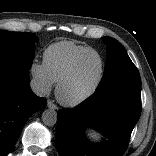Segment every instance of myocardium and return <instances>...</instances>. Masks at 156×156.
I'll return each mask as SVG.
<instances>
[{
    "instance_id": "1",
    "label": "myocardium",
    "mask_w": 156,
    "mask_h": 156,
    "mask_svg": "<svg viewBox=\"0 0 156 156\" xmlns=\"http://www.w3.org/2000/svg\"><path fill=\"white\" fill-rule=\"evenodd\" d=\"M92 53L96 54L99 57L100 63H101V70H100V75H99L98 80L96 81L94 86L89 91H87L85 94H83L82 96H80L76 99H73V100H68V99L64 98L62 96L63 87L72 79L81 60L84 57H86L87 55L92 54ZM105 71H106L105 60L100 52H98L95 49H91V50L82 52L80 55H78L74 59V61L70 65L69 69L57 82L56 89H55V95H56L57 100L62 105L66 106V107H76V106L83 104L84 102L89 100L91 97H93L97 93V91L99 90V88L101 87V85L104 81Z\"/></svg>"
}]
</instances>
